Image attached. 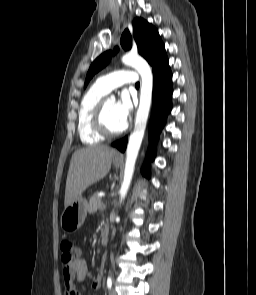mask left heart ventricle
I'll use <instances>...</instances> for the list:
<instances>
[{
  "instance_id": "1",
  "label": "left heart ventricle",
  "mask_w": 256,
  "mask_h": 295,
  "mask_svg": "<svg viewBox=\"0 0 256 295\" xmlns=\"http://www.w3.org/2000/svg\"><path fill=\"white\" fill-rule=\"evenodd\" d=\"M115 101L112 99H108L106 101L105 105V113H104V120L108 128L112 131H118L120 130L123 125L119 121V119L116 116L115 112Z\"/></svg>"
}]
</instances>
